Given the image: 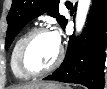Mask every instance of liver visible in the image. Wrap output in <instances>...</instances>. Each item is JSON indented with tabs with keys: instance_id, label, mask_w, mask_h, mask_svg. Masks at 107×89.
Returning a JSON list of instances; mask_svg holds the SVG:
<instances>
[{
	"instance_id": "liver-1",
	"label": "liver",
	"mask_w": 107,
	"mask_h": 89,
	"mask_svg": "<svg viewBox=\"0 0 107 89\" xmlns=\"http://www.w3.org/2000/svg\"><path fill=\"white\" fill-rule=\"evenodd\" d=\"M44 83H29L26 85L16 86L14 89H35L36 87L44 86Z\"/></svg>"
}]
</instances>
